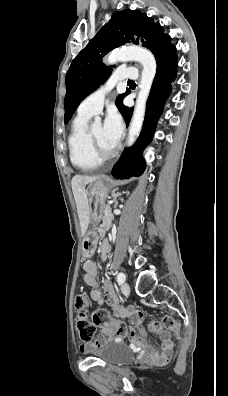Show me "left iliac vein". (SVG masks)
I'll use <instances>...</instances> for the list:
<instances>
[{"mask_svg": "<svg viewBox=\"0 0 228 396\" xmlns=\"http://www.w3.org/2000/svg\"><path fill=\"white\" fill-rule=\"evenodd\" d=\"M121 290H122V293H123L124 295H129V293H130V286H129V284H128L127 282L123 283L122 286H121Z\"/></svg>", "mask_w": 228, "mask_h": 396, "instance_id": "left-iliac-vein-1", "label": "left iliac vein"}]
</instances>
